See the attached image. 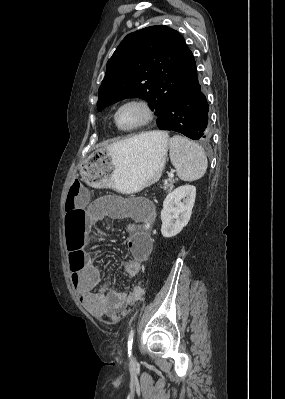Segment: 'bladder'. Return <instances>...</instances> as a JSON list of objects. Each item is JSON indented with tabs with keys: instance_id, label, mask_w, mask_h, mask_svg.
Returning a JSON list of instances; mask_svg holds the SVG:
<instances>
[{
	"instance_id": "1",
	"label": "bladder",
	"mask_w": 285,
	"mask_h": 399,
	"mask_svg": "<svg viewBox=\"0 0 285 399\" xmlns=\"http://www.w3.org/2000/svg\"><path fill=\"white\" fill-rule=\"evenodd\" d=\"M140 202H141V204L145 205L148 208V210L154 209L153 202L151 200H149L147 198H142L140 200Z\"/></svg>"
}]
</instances>
